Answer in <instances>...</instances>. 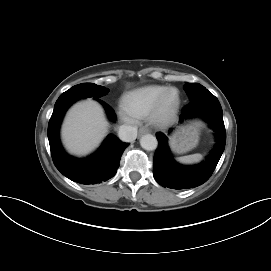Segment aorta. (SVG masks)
I'll return each mask as SVG.
<instances>
[{"label":"aorta","mask_w":271,"mask_h":271,"mask_svg":"<svg viewBox=\"0 0 271 271\" xmlns=\"http://www.w3.org/2000/svg\"><path fill=\"white\" fill-rule=\"evenodd\" d=\"M140 145L143 149L152 151L158 146V141L152 134H145L140 138Z\"/></svg>","instance_id":"1"}]
</instances>
